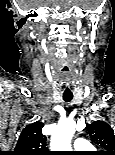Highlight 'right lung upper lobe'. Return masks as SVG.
Instances as JSON below:
<instances>
[{"mask_svg": "<svg viewBox=\"0 0 115 155\" xmlns=\"http://www.w3.org/2000/svg\"><path fill=\"white\" fill-rule=\"evenodd\" d=\"M43 123L27 125L21 132L12 155H50L46 146V136L42 134Z\"/></svg>", "mask_w": 115, "mask_h": 155, "instance_id": "1", "label": "right lung upper lobe"}]
</instances>
